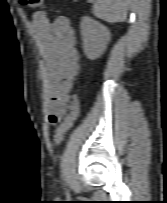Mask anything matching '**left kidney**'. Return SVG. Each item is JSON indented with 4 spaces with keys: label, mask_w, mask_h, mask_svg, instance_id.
Here are the masks:
<instances>
[{
    "label": "left kidney",
    "mask_w": 167,
    "mask_h": 203,
    "mask_svg": "<svg viewBox=\"0 0 167 203\" xmlns=\"http://www.w3.org/2000/svg\"><path fill=\"white\" fill-rule=\"evenodd\" d=\"M81 35L84 53L90 60L99 58L110 40L109 30L89 17H83L82 19Z\"/></svg>",
    "instance_id": "5707ae66"
}]
</instances>
